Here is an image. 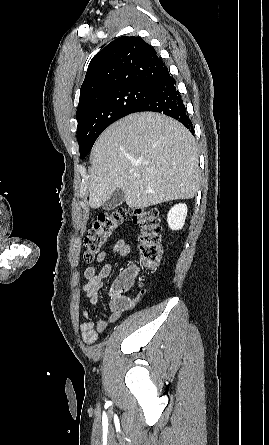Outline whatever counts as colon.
<instances>
[{"instance_id":"obj_1","label":"colon","mask_w":269,"mask_h":445,"mask_svg":"<svg viewBox=\"0 0 269 445\" xmlns=\"http://www.w3.org/2000/svg\"><path fill=\"white\" fill-rule=\"evenodd\" d=\"M129 215L138 227L140 265L148 268L158 265L161 257V227L157 210L154 208L131 210L123 207L98 215L84 239L83 259L86 263H91L97 258ZM132 284L133 278L130 275H124L115 280L112 290L117 294H123Z\"/></svg>"}]
</instances>
